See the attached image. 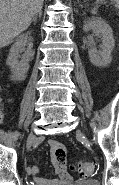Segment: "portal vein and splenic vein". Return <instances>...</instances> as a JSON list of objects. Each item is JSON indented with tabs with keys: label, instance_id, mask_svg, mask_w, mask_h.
Wrapping results in <instances>:
<instances>
[{
	"label": "portal vein and splenic vein",
	"instance_id": "portal-vein-and-splenic-vein-1",
	"mask_svg": "<svg viewBox=\"0 0 119 185\" xmlns=\"http://www.w3.org/2000/svg\"><path fill=\"white\" fill-rule=\"evenodd\" d=\"M92 12H93V13H95V9H94V10H92Z\"/></svg>",
	"mask_w": 119,
	"mask_h": 185
}]
</instances>
